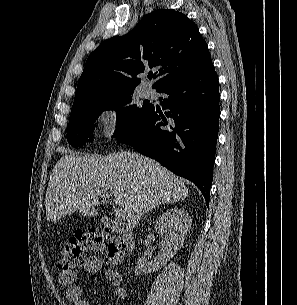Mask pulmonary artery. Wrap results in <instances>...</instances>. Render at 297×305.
Segmentation results:
<instances>
[{
  "label": "pulmonary artery",
  "instance_id": "1",
  "mask_svg": "<svg viewBox=\"0 0 297 305\" xmlns=\"http://www.w3.org/2000/svg\"><path fill=\"white\" fill-rule=\"evenodd\" d=\"M152 94H153L152 88H150V87H145V88L143 89V95H144L145 97H150V96H152Z\"/></svg>",
  "mask_w": 297,
  "mask_h": 305
}]
</instances>
